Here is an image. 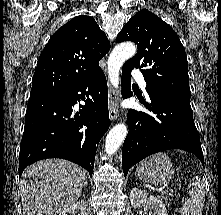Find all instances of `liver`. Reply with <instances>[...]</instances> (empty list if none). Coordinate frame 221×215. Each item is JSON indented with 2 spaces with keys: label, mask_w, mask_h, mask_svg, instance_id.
Instances as JSON below:
<instances>
[{
  "label": "liver",
  "mask_w": 221,
  "mask_h": 215,
  "mask_svg": "<svg viewBox=\"0 0 221 215\" xmlns=\"http://www.w3.org/2000/svg\"><path fill=\"white\" fill-rule=\"evenodd\" d=\"M86 171L62 159L40 160L28 166L21 178L23 215H58L80 197Z\"/></svg>",
  "instance_id": "liver-1"
}]
</instances>
